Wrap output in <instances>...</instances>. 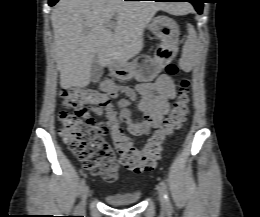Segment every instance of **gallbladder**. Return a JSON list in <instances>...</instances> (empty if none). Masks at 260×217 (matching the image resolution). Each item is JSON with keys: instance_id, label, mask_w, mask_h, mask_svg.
<instances>
[{"instance_id": "1", "label": "gallbladder", "mask_w": 260, "mask_h": 217, "mask_svg": "<svg viewBox=\"0 0 260 217\" xmlns=\"http://www.w3.org/2000/svg\"><path fill=\"white\" fill-rule=\"evenodd\" d=\"M103 74L102 66L100 65L98 58L95 57L93 59V62L91 64V69H90V80L93 83H97L100 81L101 77Z\"/></svg>"}]
</instances>
